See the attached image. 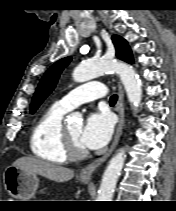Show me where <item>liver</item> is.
I'll use <instances>...</instances> for the list:
<instances>
[{"label": "liver", "instance_id": "obj_1", "mask_svg": "<svg viewBox=\"0 0 176 211\" xmlns=\"http://www.w3.org/2000/svg\"><path fill=\"white\" fill-rule=\"evenodd\" d=\"M12 166L28 173L39 174L56 182H66L74 177L72 169L33 157H21Z\"/></svg>", "mask_w": 176, "mask_h": 211}]
</instances>
